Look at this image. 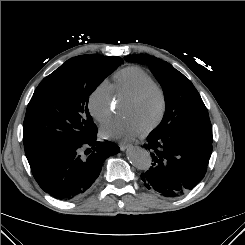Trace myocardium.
<instances>
[{
    "label": "myocardium",
    "instance_id": "obj_1",
    "mask_svg": "<svg viewBox=\"0 0 245 245\" xmlns=\"http://www.w3.org/2000/svg\"><path fill=\"white\" fill-rule=\"evenodd\" d=\"M149 89H154L158 92L160 96V100H161V105H160V111H159L157 118L149 127H147L144 131L141 132L142 136H147L148 134L153 132L155 129H157L162 123L165 117V114H166V110H167L166 92L159 83L155 81H151V82L145 83L141 85L140 87H138L134 92L128 95L124 100V103L135 101L139 99Z\"/></svg>",
    "mask_w": 245,
    "mask_h": 245
}]
</instances>
